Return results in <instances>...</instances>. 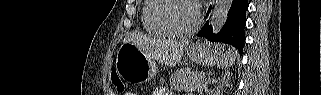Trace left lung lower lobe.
<instances>
[{
    "label": "left lung lower lobe",
    "instance_id": "left-lung-lower-lobe-1",
    "mask_svg": "<svg viewBox=\"0 0 321 95\" xmlns=\"http://www.w3.org/2000/svg\"><path fill=\"white\" fill-rule=\"evenodd\" d=\"M248 6L247 0H233L228 13V18L218 34H213L212 27L209 26V21H207L197 35L206 37L210 41L231 44L238 49L240 54H242V47L245 41L244 27ZM210 10L211 8L208 9L207 14Z\"/></svg>",
    "mask_w": 321,
    "mask_h": 95
}]
</instances>
